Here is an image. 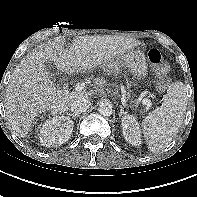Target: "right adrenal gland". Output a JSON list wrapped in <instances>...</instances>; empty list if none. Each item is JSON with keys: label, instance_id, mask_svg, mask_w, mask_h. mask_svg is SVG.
Segmentation results:
<instances>
[{"label": "right adrenal gland", "instance_id": "obj_1", "mask_svg": "<svg viewBox=\"0 0 197 197\" xmlns=\"http://www.w3.org/2000/svg\"><path fill=\"white\" fill-rule=\"evenodd\" d=\"M68 115L71 116L74 120L76 119V117H79L80 116V115H76L74 113H69Z\"/></svg>", "mask_w": 197, "mask_h": 197}]
</instances>
